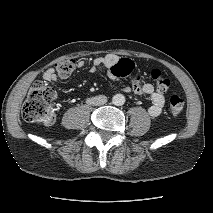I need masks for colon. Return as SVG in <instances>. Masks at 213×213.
I'll return each instance as SVG.
<instances>
[{
    "label": "colon",
    "mask_w": 213,
    "mask_h": 213,
    "mask_svg": "<svg viewBox=\"0 0 213 213\" xmlns=\"http://www.w3.org/2000/svg\"><path fill=\"white\" fill-rule=\"evenodd\" d=\"M75 62L65 60L55 65L56 71L61 77L69 76L74 70ZM134 70V63L130 59H120L111 69L116 78L129 77ZM151 78L157 91L166 92L170 81L159 69L151 72ZM55 91L42 81L35 82L29 90L27 99L22 108V117L30 123L49 126L54 123L57 115L55 104ZM184 108V102L178 95H172L169 99V110L173 115H179Z\"/></svg>",
    "instance_id": "colon-1"
}]
</instances>
